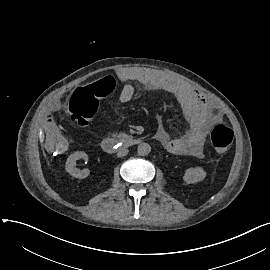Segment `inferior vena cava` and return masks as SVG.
Segmentation results:
<instances>
[{"mask_svg": "<svg viewBox=\"0 0 270 270\" xmlns=\"http://www.w3.org/2000/svg\"><path fill=\"white\" fill-rule=\"evenodd\" d=\"M129 150L128 149H120L117 153V157H123L128 154Z\"/></svg>", "mask_w": 270, "mask_h": 270, "instance_id": "1", "label": "inferior vena cava"}]
</instances>
